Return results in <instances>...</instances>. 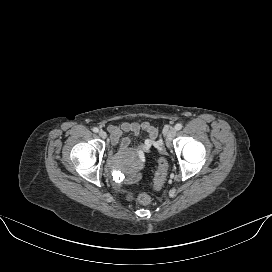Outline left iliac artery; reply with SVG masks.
I'll use <instances>...</instances> for the list:
<instances>
[{"instance_id":"obj_1","label":"left iliac artery","mask_w":272,"mask_h":272,"mask_svg":"<svg viewBox=\"0 0 272 272\" xmlns=\"http://www.w3.org/2000/svg\"><path fill=\"white\" fill-rule=\"evenodd\" d=\"M182 124L181 123H177L176 125H175V129L176 130H181L182 129Z\"/></svg>"}]
</instances>
